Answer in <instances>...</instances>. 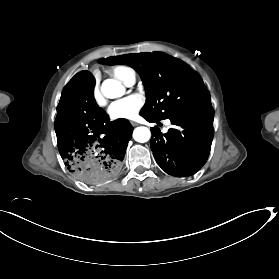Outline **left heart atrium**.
Wrapping results in <instances>:
<instances>
[{"label":"left heart atrium","instance_id":"1","mask_svg":"<svg viewBox=\"0 0 279 279\" xmlns=\"http://www.w3.org/2000/svg\"><path fill=\"white\" fill-rule=\"evenodd\" d=\"M143 106V99L138 95H129L113 102L108 108V114L113 120L134 119Z\"/></svg>","mask_w":279,"mask_h":279}]
</instances>
